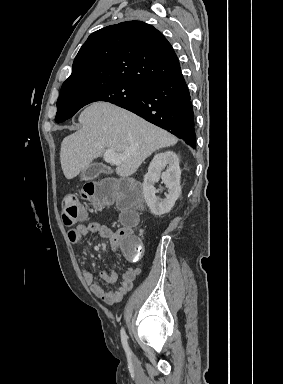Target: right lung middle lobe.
Segmentation results:
<instances>
[{
	"instance_id": "1",
	"label": "right lung middle lobe",
	"mask_w": 283,
	"mask_h": 384,
	"mask_svg": "<svg viewBox=\"0 0 283 384\" xmlns=\"http://www.w3.org/2000/svg\"><path fill=\"white\" fill-rule=\"evenodd\" d=\"M143 87L126 81H108L77 87L61 88L55 121L61 123L87 104L107 101L113 104L138 98Z\"/></svg>"
}]
</instances>
